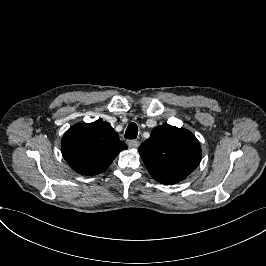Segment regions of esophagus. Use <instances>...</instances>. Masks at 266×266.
<instances>
[{
  "label": "esophagus",
  "instance_id": "obj_1",
  "mask_svg": "<svg viewBox=\"0 0 266 266\" xmlns=\"http://www.w3.org/2000/svg\"><path fill=\"white\" fill-rule=\"evenodd\" d=\"M127 145L130 148H137L139 146V141L138 140H128Z\"/></svg>",
  "mask_w": 266,
  "mask_h": 266
}]
</instances>
